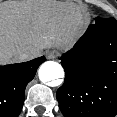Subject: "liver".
Wrapping results in <instances>:
<instances>
[{
  "label": "liver",
  "instance_id": "1",
  "mask_svg": "<svg viewBox=\"0 0 117 117\" xmlns=\"http://www.w3.org/2000/svg\"><path fill=\"white\" fill-rule=\"evenodd\" d=\"M87 23L84 11L73 5H0V64L36 57L46 48L64 47L83 32ZM27 50L33 54L22 57Z\"/></svg>",
  "mask_w": 117,
  "mask_h": 117
}]
</instances>
